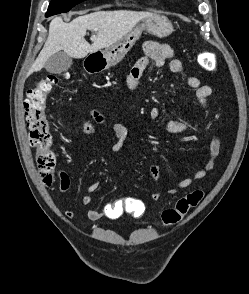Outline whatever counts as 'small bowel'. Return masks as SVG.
Returning a JSON list of instances; mask_svg holds the SVG:
<instances>
[{
	"label": "small bowel",
	"mask_w": 249,
	"mask_h": 294,
	"mask_svg": "<svg viewBox=\"0 0 249 294\" xmlns=\"http://www.w3.org/2000/svg\"><path fill=\"white\" fill-rule=\"evenodd\" d=\"M143 57H141L135 65L132 67L128 75V84L132 89L138 88L139 80L144 73V71L150 66L155 65L156 67H162L166 60H170L169 68L172 73L180 74L186 78V82L190 88L195 90L197 103L199 109L205 110L207 108V100L212 94V89L210 86L202 84L201 81L194 77L186 74L183 63L175 58V52L172 47L167 44H160L154 41H147L143 44ZM95 123L87 120L82 125V132L91 137L97 136V125H103L105 119L103 115L98 111L92 112ZM149 117L152 120H161L162 113L160 108L153 106L149 109ZM196 118L188 120H172L163 119V124L165 129L172 134H183L190 130ZM112 132L115 137V142L110 147L101 146L105 152L117 153L121 150L124 141L129 135V130L121 124H114L112 126ZM220 150V141L218 138H212L210 141L209 153L204 166L193 173L192 175L182 179L177 183L175 187L168 190V194L174 195L179 190L185 189L192 185L195 181L204 178L210 171L213 170L215 162L218 158ZM151 178L155 183L159 181L160 169L157 164H152L149 168ZM101 187L100 181H95L87 187V194L82 197V202L85 205H89L92 202V193L98 191ZM70 188V178L67 174L62 173L60 177L59 192L66 193ZM160 198V192L155 191L151 194V199L157 201ZM113 203H106L103 208H90L86 212V216L90 221H98L103 217L109 219H116L111 213ZM65 216L73 220L75 217V211L73 209H67L65 211Z\"/></svg>",
	"instance_id": "c3829d8e"
}]
</instances>
